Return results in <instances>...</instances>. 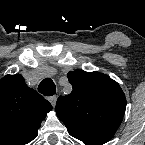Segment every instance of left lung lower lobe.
I'll use <instances>...</instances> for the list:
<instances>
[{
	"label": "left lung lower lobe",
	"instance_id": "left-lung-lower-lobe-1",
	"mask_svg": "<svg viewBox=\"0 0 145 145\" xmlns=\"http://www.w3.org/2000/svg\"><path fill=\"white\" fill-rule=\"evenodd\" d=\"M68 133L86 145H102L108 142L115 134V129L110 128H82L69 127Z\"/></svg>",
	"mask_w": 145,
	"mask_h": 145
}]
</instances>
